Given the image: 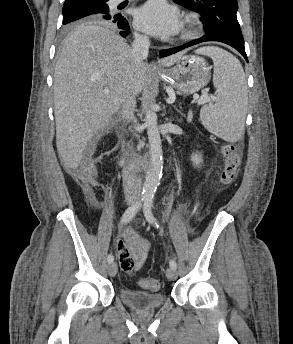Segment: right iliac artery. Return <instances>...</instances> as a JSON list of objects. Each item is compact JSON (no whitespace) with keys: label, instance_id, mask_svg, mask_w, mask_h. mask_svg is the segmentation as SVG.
Returning a JSON list of instances; mask_svg holds the SVG:
<instances>
[{"label":"right iliac artery","instance_id":"82829eb1","mask_svg":"<svg viewBox=\"0 0 293 344\" xmlns=\"http://www.w3.org/2000/svg\"><path fill=\"white\" fill-rule=\"evenodd\" d=\"M143 200H145V197H141L139 201H137L125 210L121 219L122 225L128 223L130 220H132V218H134ZM107 261L108 263H112L114 261V257L112 254L108 255Z\"/></svg>","mask_w":293,"mask_h":344}]
</instances>
